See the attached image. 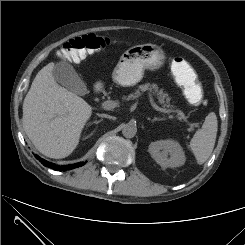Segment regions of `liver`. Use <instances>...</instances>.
Segmentation results:
<instances>
[{
	"label": "liver",
	"mask_w": 245,
	"mask_h": 245,
	"mask_svg": "<svg viewBox=\"0 0 245 245\" xmlns=\"http://www.w3.org/2000/svg\"><path fill=\"white\" fill-rule=\"evenodd\" d=\"M54 63L34 78L23 102V127L34 146L50 158H65L77 147L92 107L53 78Z\"/></svg>",
	"instance_id": "1"
}]
</instances>
